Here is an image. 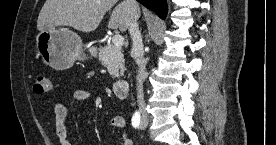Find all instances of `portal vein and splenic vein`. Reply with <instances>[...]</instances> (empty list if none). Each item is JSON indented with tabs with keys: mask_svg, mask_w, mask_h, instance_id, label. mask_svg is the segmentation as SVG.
<instances>
[{
	"mask_svg": "<svg viewBox=\"0 0 276 145\" xmlns=\"http://www.w3.org/2000/svg\"><path fill=\"white\" fill-rule=\"evenodd\" d=\"M112 43L116 47H121L124 44V38L121 35H114L112 37Z\"/></svg>",
	"mask_w": 276,
	"mask_h": 145,
	"instance_id": "18ae733b",
	"label": "portal vein and splenic vein"
}]
</instances>
